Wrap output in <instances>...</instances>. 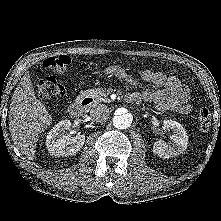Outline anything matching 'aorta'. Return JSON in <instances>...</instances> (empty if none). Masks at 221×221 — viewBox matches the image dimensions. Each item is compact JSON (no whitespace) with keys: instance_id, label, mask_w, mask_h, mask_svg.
<instances>
[{"instance_id":"762f6f07","label":"aorta","mask_w":221,"mask_h":221,"mask_svg":"<svg viewBox=\"0 0 221 221\" xmlns=\"http://www.w3.org/2000/svg\"><path fill=\"white\" fill-rule=\"evenodd\" d=\"M133 115L125 108H119L115 111L113 125L117 129H127L131 126Z\"/></svg>"}]
</instances>
